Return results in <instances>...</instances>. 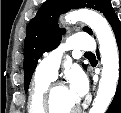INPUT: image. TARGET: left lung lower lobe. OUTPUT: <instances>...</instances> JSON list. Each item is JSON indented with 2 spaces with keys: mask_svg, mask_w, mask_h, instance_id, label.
<instances>
[{
  "mask_svg": "<svg viewBox=\"0 0 121 113\" xmlns=\"http://www.w3.org/2000/svg\"><path fill=\"white\" fill-rule=\"evenodd\" d=\"M111 26L114 31L119 49L120 74H119V83L116 89L114 99L110 104L109 109L107 110L106 113H121V24L118 17H116L111 22Z\"/></svg>",
  "mask_w": 121,
  "mask_h": 113,
  "instance_id": "1",
  "label": "left lung lower lobe"
}]
</instances>
